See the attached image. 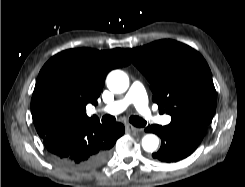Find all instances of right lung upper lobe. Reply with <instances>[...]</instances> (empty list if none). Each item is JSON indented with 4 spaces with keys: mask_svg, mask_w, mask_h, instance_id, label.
I'll use <instances>...</instances> for the list:
<instances>
[{
    "mask_svg": "<svg viewBox=\"0 0 245 187\" xmlns=\"http://www.w3.org/2000/svg\"><path fill=\"white\" fill-rule=\"evenodd\" d=\"M130 60L121 48L98 51L69 49L41 69L31 99V112L40 137L69 125L97 120L86 114V105H97L107 73L127 66Z\"/></svg>",
    "mask_w": 245,
    "mask_h": 187,
    "instance_id": "right-lung-upper-lobe-1",
    "label": "right lung upper lobe"
}]
</instances>
